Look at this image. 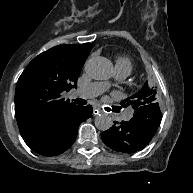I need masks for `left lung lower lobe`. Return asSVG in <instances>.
Instances as JSON below:
<instances>
[{"label":"left lung lower lobe","mask_w":193,"mask_h":193,"mask_svg":"<svg viewBox=\"0 0 193 193\" xmlns=\"http://www.w3.org/2000/svg\"><path fill=\"white\" fill-rule=\"evenodd\" d=\"M161 122V112L157 103L141 106L130 121L117 122L103 132V142L115 151L134 153L142 150L153 138Z\"/></svg>","instance_id":"left-lung-lower-lobe-1"}]
</instances>
